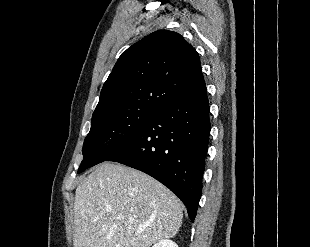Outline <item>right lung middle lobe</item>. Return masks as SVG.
<instances>
[{"label": "right lung middle lobe", "mask_w": 310, "mask_h": 247, "mask_svg": "<svg viewBox=\"0 0 310 247\" xmlns=\"http://www.w3.org/2000/svg\"><path fill=\"white\" fill-rule=\"evenodd\" d=\"M157 111L152 107H134L92 117L78 173L121 150Z\"/></svg>", "instance_id": "1"}]
</instances>
